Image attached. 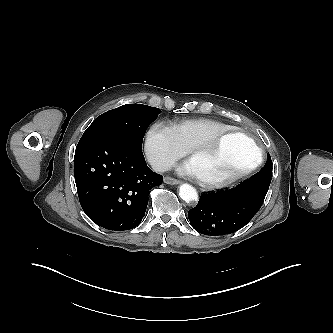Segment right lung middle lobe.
<instances>
[{"label":"right lung middle lobe","instance_id":"obj_1","mask_svg":"<svg viewBox=\"0 0 333 333\" xmlns=\"http://www.w3.org/2000/svg\"><path fill=\"white\" fill-rule=\"evenodd\" d=\"M160 109L142 104H126L97 117L84 132L82 139L112 138L142 147L148 126Z\"/></svg>","mask_w":333,"mask_h":333}]
</instances>
